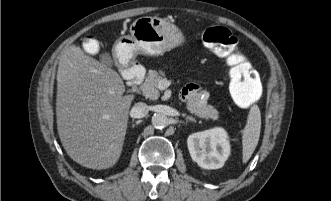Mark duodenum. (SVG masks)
<instances>
[{
	"label": "duodenum",
	"mask_w": 331,
	"mask_h": 201,
	"mask_svg": "<svg viewBox=\"0 0 331 201\" xmlns=\"http://www.w3.org/2000/svg\"><path fill=\"white\" fill-rule=\"evenodd\" d=\"M126 74L128 76V86L134 88L143 79L145 71L138 63H134L126 69Z\"/></svg>",
	"instance_id": "1"
}]
</instances>
